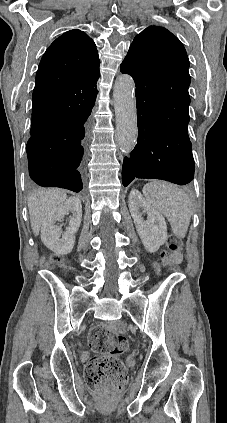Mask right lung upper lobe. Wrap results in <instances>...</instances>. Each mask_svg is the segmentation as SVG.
Listing matches in <instances>:
<instances>
[{"label": "right lung upper lobe", "instance_id": "1", "mask_svg": "<svg viewBox=\"0 0 227 423\" xmlns=\"http://www.w3.org/2000/svg\"><path fill=\"white\" fill-rule=\"evenodd\" d=\"M99 58L93 40L83 31L70 30L57 38L44 53L36 74L33 101H67L79 96L96 97ZM56 126L53 121L31 125V137Z\"/></svg>", "mask_w": 227, "mask_h": 423}]
</instances>
